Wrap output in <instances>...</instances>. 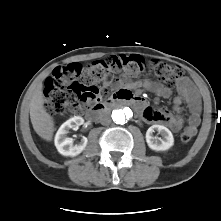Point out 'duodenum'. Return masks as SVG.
I'll return each mask as SVG.
<instances>
[{
  "mask_svg": "<svg viewBox=\"0 0 221 221\" xmlns=\"http://www.w3.org/2000/svg\"><path fill=\"white\" fill-rule=\"evenodd\" d=\"M118 102H127L128 104L141 109L144 100L140 98L133 97L132 93L127 89H121L118 92L112 94L109 98L103 102H96L92 107L87 108L84 112L87 118L94 119L99 113L107 110L109 107L113 106Z\"/></svg>",
  "mask_w": 221,
  "mask_h": 221,
  "instance_id": "duodenum-1",
  "label": "duodenum"
}]
</instances>
